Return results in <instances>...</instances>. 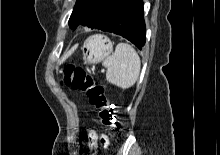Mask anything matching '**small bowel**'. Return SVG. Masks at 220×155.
Here are the masks:
<instances>
[{
  "label": "small bowel",
  "instance_id": "obj_1",
  "mask_svg": "<svg viewBox=\"0 0 220 155\" xmlns=\"http://www.w3.org/2000/svg\"><path fill=\"white\" fill-rule=\"evenodd\" d=\"M90 138H91L92 141H94V140L96 139V134H95L94 132H91ZM93 144H94V143L92 142V145H93Z\"/></svg>",
  "mask_w": 220,
  "mask_h": 155
}]
</instances>
